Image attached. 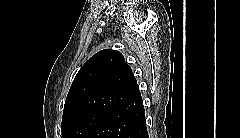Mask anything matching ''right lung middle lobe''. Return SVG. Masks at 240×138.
<instances>
[{
	"mask_svg": "<svg viewBox=\"0 0 240 138\" xmlns=\"http://www.w3.org/2000/svg\"><path fill=\"white\" fill-rule=\"evenodd\" d=\"M106 115L99 111H85L64 117L61 124L62 138H86Z\"/></svg>",
	"mask_w": 240,
	"mask_h": 138,
	"instance_id": "obj_1",
	"label": "right lung middle lobe"
}]
</instances>
